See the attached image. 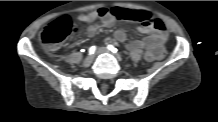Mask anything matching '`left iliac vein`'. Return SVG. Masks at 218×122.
Returning a JSON list of instances; mask_svg holds the SVG:
<instances>
[{
    "label": "left iliac vein",
    "instance_id": "4c4485c4",
    "mask_svg": "<svg viewBox=\"0 0 218 122\" xmlns=\"http://www.w3.org/2000/svg\"><path fill=\"white\" fill-rule=\"evenodd\" d=\"M99 54L109 53V50L106 47H100L97 51Z\"/></svg>",
    "mask_w": 218,
    "mask_h": 122
}]
</instances>
